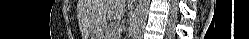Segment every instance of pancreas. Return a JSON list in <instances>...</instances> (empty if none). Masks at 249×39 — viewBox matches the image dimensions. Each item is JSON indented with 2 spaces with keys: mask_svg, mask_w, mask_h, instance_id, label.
Instances as JSON below:
<instances>
[{
  "mask_svg": "<svg viewBox=\"0 0 249 39\" xmlns=\"http://www.w3.org/2000/svg\"><path fill=\"white\" fill-rule=\"evenodd\" d=\"M118 22L110 23L105 29V36L107 39H115L118 34Z\"/></svg>",
  "mask_w": 249,
  "mask_h": 39,
  "instance_id": "obj_1",
  "label": "pancreas"
}]
</instances>
